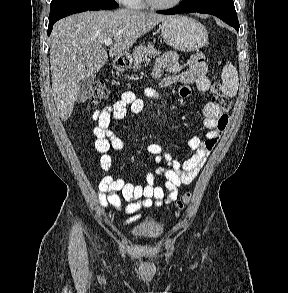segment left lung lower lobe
Instances as JSON below:
<instances>
[{"mask_svg": "<svg viewBox=\"0 0 288 293\" xmlns=\"http://www.w3.org/2000/svg\"><path fill=\"white\" fill-rule=\"evenodd\" d=\"M204 13V14H211L218 18H220L222 21L227 23L228 25L235 28L238 32L239 30V22L237 18V14L233 12L226 11L224 9H220L217 7H199V6H192V5H183L180 4L179 6H176L169 10L164 11H157V13L161 14H167V15H173V14H181V13Z\"/></svg>", "mask_w": 288, "mask_h": 293, "instance_id": "0a47b994", "label": "left lung lower lobe"}]
</instances>
